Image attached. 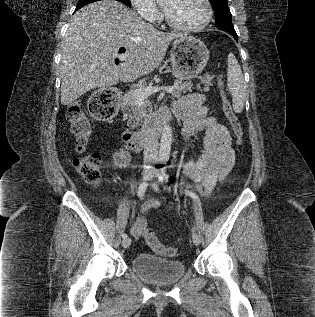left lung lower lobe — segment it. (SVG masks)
Returning a JSON list of instances; mask_svg holds the SVG:
<instances>
[{
    "label": "left lung lower lobe",
    "mask_w": 315,
    "mask_h": 317,
    "mask_svg": "<svg viewBox=\"0 0 315 317\" xmlns=\"http://www.w3.org/2000/svg\"><path fill=\"white\" fill-rule=\"evenodd\" d=\"M231 35L234 36L235 40L238 42V37H237V34L236 32H229Z\"/></svg>",
    "instance_id": "0a47b994"
}]
</instances>
